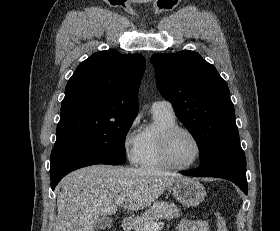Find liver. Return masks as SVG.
Masks as SVG:
<instances>
[{"instance_id":"1","label":"liver","mask_w":280,"mask_h":231,"mask_svg":"<svg viewBox=\"0 0 280 231\" xmlns=\"http://www.w3.org/2000/svg\"><path fill=\"white\" fill-rule=\"evenodd\" d=\"M181 175L158 173L142 167L89 165L60 181L54 231H94L99 215H113L125 197V209H144Z\"/></svg>"}]
</instances>
